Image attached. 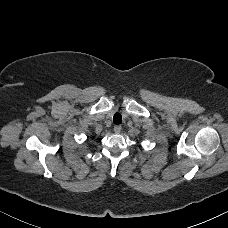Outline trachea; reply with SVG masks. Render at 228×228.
Returning a JSON list of instances; mask_svg holds the SVG:
<instances>
[{"label":"trachea","instance_id":"trachea-1","mask_svg":"<svg viewBox=\"0 0 228 228\" xmlns=\"http://www.w3.org/2000/svg\"><path fill=\"white\" fill-rule=\"evenodd\" d=\"M113 122L114 124L116 125H119L122 123V116L120 113H116L114 116H113Z\"/></svg>","mask_w":228,"mask_h":228}]
</instances>
